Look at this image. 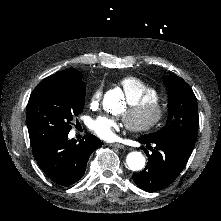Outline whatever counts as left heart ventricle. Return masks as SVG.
I'll return each instance as SVG.
<instances>
[{
    "label": "left heart ventricle",
    "instance_id": "b2bd125f",
    "mask_svg": "<svg viewBox=\"0 0 221 221\" xmlns=\"http://www.w3.org/2000/svg\"><path fill=\"white\" fill-rule=\"evenodd\" d=\"M156 111L154 107H150L145 116L138 122V126L140 127H146L149 126L153 120L155 119Z\"/></svg>",
    "mask_w": 221,
    "mask_h": 221
}]
</instances>
